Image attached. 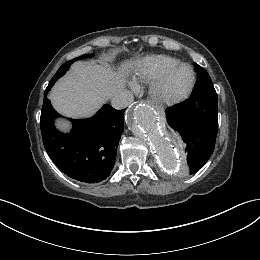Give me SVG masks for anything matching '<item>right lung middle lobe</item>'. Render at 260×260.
<instances>
[{"label":"right lung middle lobe","instance_id":"dd1d6c3e","mask_svg":"<svg viewBox=\"0 0 260 260\" xmlns=\"http://www.w3.org/2000/svg\"><path fill=\"white\" fill-rule=\"evenodd\" d=\"M94 54H85V55H82L80 57H77V58H74L73 60L71 61H68L66 62L64 65H62L58 71L56 72V74L53 76V78L51 79L50 82L52 83H55L57 81L58 78H60L62 75L65 74V72L69 69L70 65L76 61V60H79V59H84V58H90L92 57ZM49 82V83H50Z\"/></svg>","mask_w":260,"mask_h":260}]
</instances>
